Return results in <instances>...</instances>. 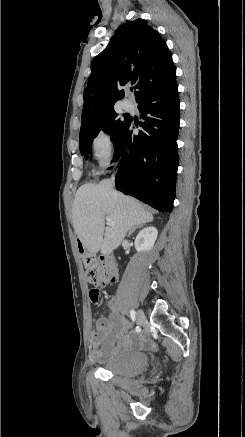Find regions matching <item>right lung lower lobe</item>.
Returning <instances> with one entry per match:
<instances>
[{"mask_svg":"<svg viewBox=\"0 0 245 437\" xmlns=\"http://www.w3.org/2000/svg\"><path fill=\"white\" fill-rule=\"evenodd\" d=\"M143 131L133 133L130 119L116 145L113 161H119L117 190L134 196L159 211L171 212L179 156V93L175 84L136 100Z\"/></svg>","mask_w":245,"mask_h":437,"instance_id":"right-lung-lower-lobe-1","label":"right lung lower lobe"}]
</instances>
